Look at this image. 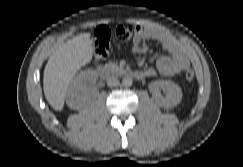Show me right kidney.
Returning <instances> with one entry per match:
<instances>
[{
    "label": "right kidney",
    "instance_id": "right-kidney-1",
    "mask_svg": "<svg viewBox=\"0 0 243 167\" xmlns=\"http://www.w3.org/2000/svg\"><path fill=\"white\" fill-rule=\"evenodd\" d=\"M97 77L94 70H86L77 75L66 94V104L69 108L80 109L91 99L93 93L89 85L94 84Z\"/></svg>",
    "mask_w": 243,
    "mask_h": 167
}]
</instances>
